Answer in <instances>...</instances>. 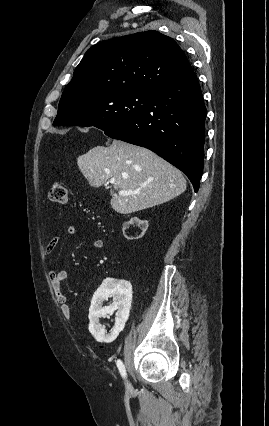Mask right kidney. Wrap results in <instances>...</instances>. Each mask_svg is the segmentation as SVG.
I'll return each instance as SVG.
<instances>
[{"label": "right kidney", "instance_id": "1", "mask_svg": "<svg viewBox=\"0 0 269 426\" xmlns=\"http://www.w3.org/2000/svg\"><path fill=\"white\" fill-rule=\"evenodd\" d=\"M130 219V221L123 223L122 231L124 237L127 240L141 238L145 233V230L148 229V224L145 221L146 219L144 217L138 218L137 216H132ZM134 222H137L138 226H141L140 234L137 237L128 236L125 233L126 229H128L131 224H134ZM109 297H113V304L108 307H103V301L107 300ZM131 298L132 287L129 282L110 278L103 281L102 285L93 296L89 310V331L97 341L111 342L115 339L118 332L124 327L128 318ZM114 309H118L115 328L113 332L108 335L106 334L104 326L100 324L99 318L106 316Z\"/></svg>", "mask_w": 269, "mask_h": 426}]
</instances>
